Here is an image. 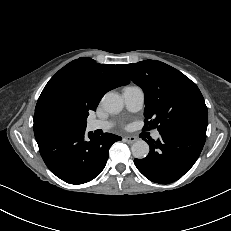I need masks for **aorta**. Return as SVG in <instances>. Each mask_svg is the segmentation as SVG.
<instances>
[{"instance_id": "aorta-1", "label": "aorta", "mask_w": 231, "mask_h": 231, "mask_svg": "<svg viewBox=\"0 0 231 231\" xmlns=\"http://www.w3.org/2000/svg\"><path fill=\"white\" fill-rule=\"evenodd\" d=\"M104 109L113 114H117L123 109V99L114 92H108L102 98ZM149 145L144 140H137L131 146L132 155L137 159H143L149 154Z\"/></svg>"}]
</instances>
